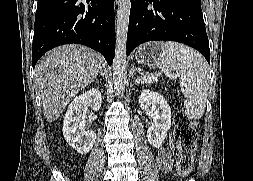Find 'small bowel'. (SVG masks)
<instances>
[{
    "instance_id": "obj_1",
    "label": "small bowel",
    "mask_w": 253,
    "mask_h": 181,
    "mask_svg": "<svg viewBox=\"0 0 253 181\" xmlns=\"http://www.w3.org/2000/svg\"><path fill=\"white\" fill-rule=\"evenodd\" d=\"M174 162V153L171 149L163 147L160 148L156 155V163L158 168L167 173L171 170Z\"/></svg>"
}]
</instances>
